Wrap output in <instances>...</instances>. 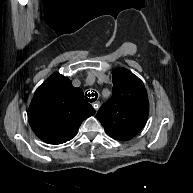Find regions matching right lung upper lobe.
Listing matches in <instances>:
<instances>
[{
  "label": "right lung upper lobe",
  "instance_id": "cb5924a9",
  "mask_svg": "<svg viewBox=\"0 0 193 193\" xmlns=\"http://www.w3.org/2000/svg\"><path fill=\"white\" fill-rule=\"evenodd\" d=\"M82 89L71 81L52 74L35 92L28 110V120L34 133L48 144L71 140L82 121L95 110L84 100Z\"/></svg>",
  "mask_w": 193,
  "mask_h": 193
}]
</instances>
